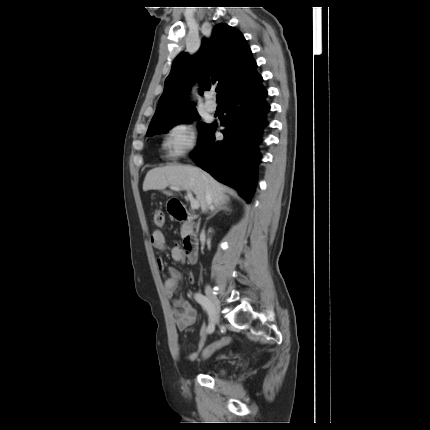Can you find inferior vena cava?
I'll return each instance as SVG.
<instances>
[{"label":"inferior vena cava","instance_id":"602c4592","mask_svg":"<svg viewBox=\"0 0 430 430\" xmlns=\"http://www.w3.org/2000/svg\"><path fill=\"white\" fill-rule=\"evenodd\" d=\"M212 200H213L212 192L210 189H208L205 196L206 207L213 209Z\"/></svg>","mask_w":430,"mask_h":430}]
</instances>
